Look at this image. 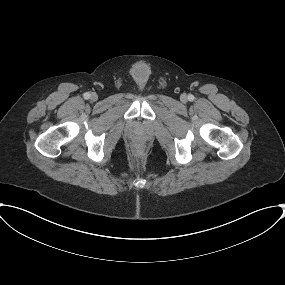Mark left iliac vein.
Masks as SVG:
<instances>
[{
  "label": "left iliac vein",
  "mask_w": 285,
  "mask_h": 285,
  "mask_svg": "<svg viewBox=\"0 0 285 285\" xmlns=\"http://www.w3.org/2000/svg\"><path fill=\"white\" fill-rule=\"evenodd\" d=\"M181 101L182 102H186L187 101V96L186 95H182L181 96Z\"/></svg>",
  "instance_id": "4c4485c4"
}]
</instances>
